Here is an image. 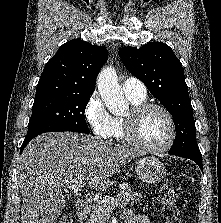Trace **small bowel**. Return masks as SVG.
Here are the masks:
<instances>
[{
	"instance_id": "c3829d8e",
	"label": "small bowel",
	"mask_w": 221,
	"mask_h": 223,
	"mask_svg": "<svg viewBox=\"0 0 221 223\" xmlns=\"http://www.w3.org/2000/svg\"><path fill=\"white\" fill-rule=\"evenodd\" d=\"M124 218L126 223H150L145 215L137 214L132 211L126 212Z\"/></svg>"
}]
</instances>
